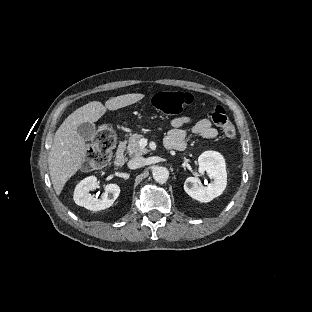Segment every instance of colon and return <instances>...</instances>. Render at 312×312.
Instances as JSON below:
<instances>
[{
    "instance_id": "obj_1",
    "label": "colon",
    "mask_w": 312,
    "mask_h": 312,
    "mask_svg": "<svg viewBox=\"0 0 312 312\" xmlns=\"http://www.w3.org/2000/svg\"><path fill=\"white\" fill-rule=\"evenodd\" d=\"M192 100V95L188 92H160L155 106L160 112L173 115L181 113ZM206 118L218 125L228 139L236 138V131L222 107H215L208 111ZM94 140V149L86 153L83 158V165L90 169L107 165L116 144L115 132L110 125L101 124L95 132Z\"/></svg>"
}]
</instances>
